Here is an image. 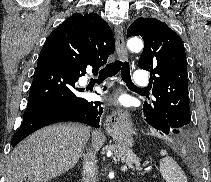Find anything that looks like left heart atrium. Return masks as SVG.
<instances>
[{
  "instance_id": "1",
  "label": "left heart atrium",
  "mask_w": 211,
  "mask_h": 182,
  "mask_svg": "<svg viewBox=\"0 0 211 182\" xmlns=\"http://www.w3.org/2000/svg\"><path fill=\"white\" fill-rule=\"evenodd\" d=\"M119 103H121V104H126V101H125L124 98H121V99L119 100Z\"/></svg>"
}]
</instances>
